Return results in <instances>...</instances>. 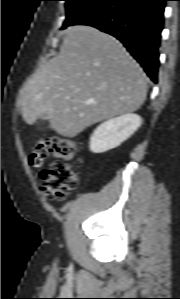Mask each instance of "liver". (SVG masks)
<instances>
[{
	"label": "liver",
	"mask_w": 180,
	"mask_h": 299,
	"mask_svg": "<svg viewBox=\"0 0 180 299\" xmlns=\"http://www.w3.org/2000/svg\"><path fill=\"white\" fill-rule=\"evenodd\" d=\"M146 95L142 68L116 38L72 26L59 54L23 88L21 113L29 125L46 114L50 129L73 138L97 122L138 110Z\"/></svg>",
	"instance_id": "obj_1"
}]
</instances>
